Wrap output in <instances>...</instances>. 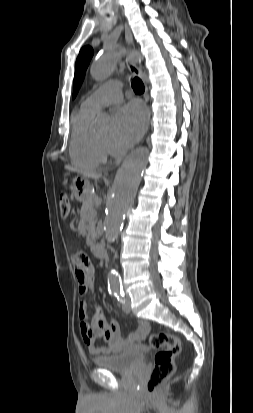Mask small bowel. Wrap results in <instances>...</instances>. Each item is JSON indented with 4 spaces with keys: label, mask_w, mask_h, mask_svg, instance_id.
Instances as JSON below:
<instances>
[{
    "label": "small bowel",
    "mask_w": 253,
    "mask_h": 413,
    "mask_svg": "<svg viewBox=\"0 0 253 413\" xmlns=\"http://www.w3.org/2000/svg\"><path fill=\"white\" fill-rule=\"evenodd\" d=\"M72 259L75 265L78 292L80 295H84L88 289L94 287V268L85 254L80 251L75 252ZM78 316L82 338L92 354L122 351L143 342L150 332V325L141 320L134 330L122 334L115 319L107 322L105 311L100 305L96 306L94 316L91 321H88L87 306L83 301L78 306ZM99 338H103L107 346L97 345L96 341Z\"/></svg>",
    "instance_id": "small-bowel-1"
}]
</instances>
